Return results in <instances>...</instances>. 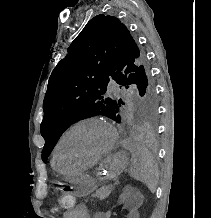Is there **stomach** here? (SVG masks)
Listing matches in <instances>:
<instances>
[{
  "mask_svg": "<svg viewBox=\"0 0 211 218\" xmlns=\"http://www.w3.org/2000/svg\"><path fill=\"white\" fill-rule=\"evenodd\" d=\"M129 165V157L124 152L110 155L96 173V178L89 175H80L69 179L73 194L84 197L97 187V182L117 178Z\"/></svg>",
  "mask_w": 211,
  "mask_h": 218,
  "instance_id": "obj_1",
  "label": "stomach"
}]
</instances>
